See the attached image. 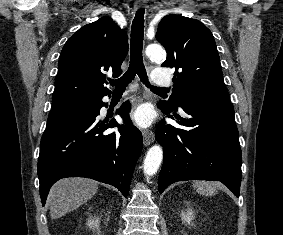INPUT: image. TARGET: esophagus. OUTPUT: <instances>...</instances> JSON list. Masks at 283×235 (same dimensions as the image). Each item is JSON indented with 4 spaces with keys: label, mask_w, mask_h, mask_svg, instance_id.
Returning a JSON list of instances; mask_svg holds the SVG:
<instances>
[{
    "label": "esophagus",
    "mask_w": 283,
    "mask_h": 235,
    "mask_svg": "<svg viewBox=\"0 0 283 235\" xmlns=\"http://www.w3.org/2000/svg\"><path fill=\"white\" fill-rule=\"evenodd\" d=\"M143 5H144L143 2L138 1L134 4V7L136 9H140L143 7ZM143 141H144L145 146H149L154 141V132L151 130H144L143 131Z\"/></svg>",
    "instance_id": "1"
}]
</instances>
